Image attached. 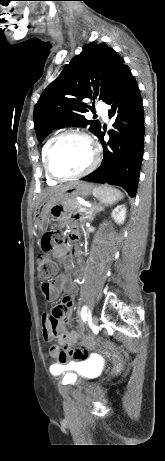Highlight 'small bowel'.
<instances>
[{"label": "small bowel", "mask_w": 165, "mask_h": 461, "mask_svg": "<svg viewBox=\"0 0 165 461\" xmlns=\"http://www.w3.org/2000/svg\"><path fill=\"white\" fill-rule=\"evenodd\" d=\"M68 204H53L50 209V216L53 222H58L60 217L64 216L66 221H71L73 225L80 222V214H72ZM68 250L66 244H59L53 248L52 255L55 258H62ZM66 290L67 295L63 298L60 304H57L52 309L51 313L42 316V335L47 342L52 340H76L81 339V335L75 331H70L67 328L71 318L74 303V283L68 274H60L53 281H43L41 283V292L47 301H54L62 290ZM57 309L59 316L53 314V310ZM50 356L57 364L55 368L60 369V364L68 360L67 352H62L61 348L53 345L50 349Z\"/></svg>", "instance_id": "1"}]
</instances>
